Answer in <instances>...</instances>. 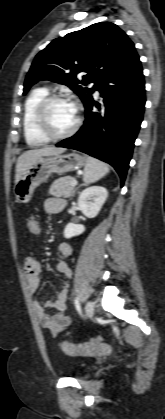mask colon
Returning <instances> with one entry per match:
<instances>
[{
	"instance_id": "colon-1",
	"label": "colon",
	"mask_w": 165,
	"mask_h": 419,
	"mask_svg": "<svg viewBox=\"0 0 165 419\" xmlns=\"http://www.w3.org/2000/svg\"><path fill=\"white\" fill-rule=\"evenodd\" d=\"M39 228V222L36 218L32 217L28 220V230L32 233L37 232ZM102 340L101 337L92 338L88 341L82 343H69L67 341H62L60 343V349L63 353L70 356H80L82 354L89 353L92 351Z\"/></svg>"
}]
</instances>
